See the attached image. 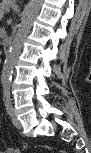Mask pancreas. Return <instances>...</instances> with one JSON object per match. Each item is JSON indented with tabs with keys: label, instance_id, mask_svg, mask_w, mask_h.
<instances>
[{
	"label": "pancreas",
	"instance_id": "cf45deb5",
	"mask_svg": "<svg viewBox=\"0 0 91 153\" xmlns=\"http://www.w3.org/2000/svg\"><path fill=\"white\" fill-rule=\"evenodd\" d=\"M9 11V6L7 3H3L2 6H1V13H4V12H8Z\"/></svg>",
	"mask_w": 91,
	"mask_h": 153
}]
</instances>
